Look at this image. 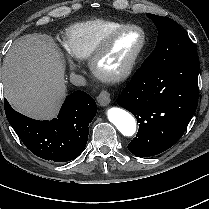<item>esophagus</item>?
<instances>
[{"mask_svg":"<svg viewBox=\"0 0 209 209\" xmlns=\"http://www.w3.org/2000/svg\"><path fill=\"white\" fill-rule=\"evenodd\" d=\"M97 99L101 106H107L111 101V96L107 91L103 90L98 95Z\"/></svg>","mask_w":209,"mask_h":209,"instance_id":"esophagus-1","label":"esophagus"}]
</instances>
